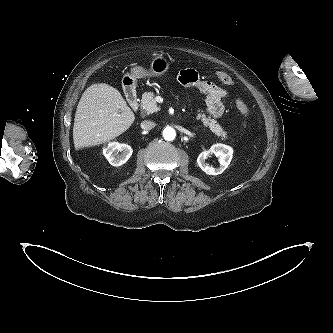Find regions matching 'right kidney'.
<instances>
[{"mask_svg": "<svg viewBox=\"0 0 333 333\" xmlns=\"http://www.w3.org/2000/svg\"><path fill=\"white\" fill-rule=\"evenodd\" d=\"M120 152V153H119ZM132 148L127 144L110 142L103 148V155L112 166H121L126 163L132 155Z\"/></svg>", "mask_w": 333, "mask_h": 333, "instance_id": "right-kidney-1", "label": "right kidney"}]
</instances>
